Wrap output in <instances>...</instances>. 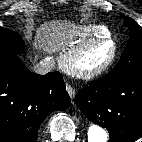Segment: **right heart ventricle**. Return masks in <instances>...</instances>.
<instances>
[{"mask_svg":"<svg viewBox=\"0 0 142 142\" xmlns=\"http://www.w3.org/2000/svg\"><path fill=\"white\" fill-rule=\"evenodd\" d=\"M110 32L103 25H84L73 32V43H80L96 36H107Z\"/></svg>","mask_w":142,"mask_h":142,"instance_id":"right-heart-ventricle-1","label":"right heart ventricle"}]
</instances>
